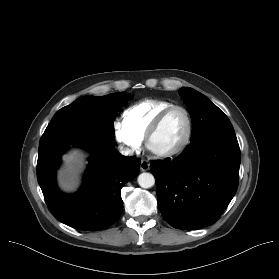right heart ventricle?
<instances>
[{
  "instance_id": "obj_1",
  "label": "right heart ventricle",
  "mask_w": 279,
  "mask_h": 279,
  "mask_svg": "<svg viewBox=\"0 0 279 279\" xmlns=\"http://www.w3.org/2000/svg\"><path fill=\"white\" fill-rule=\"evenodd\" d=\"M171 105L174 104L170 101L161 99L140 101L123 112L122 123L140 139H144L149 126L156 116Z\"/></svg>"
}]
</instances>
